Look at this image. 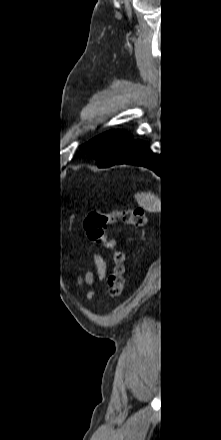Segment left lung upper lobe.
I'll use <instances>...</instances> for the list:
<instances>
[{"label":"left lung upper lobe","mask_w":221,"mask_h":440,"mask_svg":"<svg viewBox=\"0 0 221 440\" xmlns=\"http://www.w3.org/2000/svg\"><path fill=\"white\" fill-rule=\"evenodd\" d=\"M132 139V135L125 131H110L80 146V149L95 158L98 167H109L123 157Z\"/></svg>","instance_id":"5c2ea615"}]
</instances>
